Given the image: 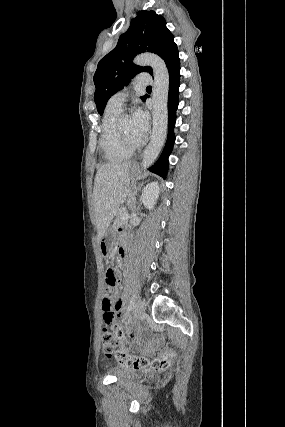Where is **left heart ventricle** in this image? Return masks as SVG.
<instances>
[{
  "mask_svg": "<svg viewBox=\"0 0 285 427\" xmlns=\"http://www.w3.org/2000/svg\"><path fill=\"white\" fill-rule=\"evenodd\" d=\"M123 129H124L126 136L128 137V139L131 142L136 143V142L140 141L138 136L136 135L133 120H132V117L130 115L126 116L123 119Z\"/></svg>",
  "mask_w": 285,
  "mask_h": 427,
  "instance_id": "1",
  "label": "left heart ventricle"
}]
</instances>
